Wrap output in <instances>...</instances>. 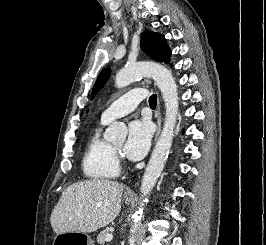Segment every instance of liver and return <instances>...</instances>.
Instances as JSON below:
<instances>
[{
  "instance_id": "6515ba94",
  "label": "liver",
  "mask_w": 266,
  "mask_h": 245,
  "mask_svg": "<svg viewBox=\"0 0 266 245\" xmlns=\"http://www.w3.org/2000/svg\"><path fill=\"white\" fill-rule=\"evenodd\" d=\"M124 185L115 181H80L63 191L51 217L56 235L93 233L107 227L121 211Z\"/></svg>"
}]
</instances>
